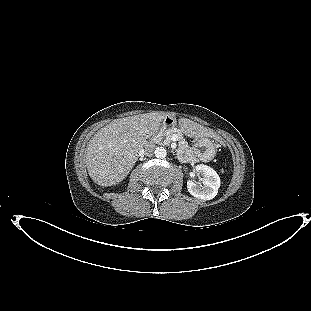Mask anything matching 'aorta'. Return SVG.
I'll return each mask as SVG.
<instances>
[{"label": "aorta", "instance_id": "aorta-1", "mask_svg": "<svg viewBox=\"0 0 311 311\" xmlns=\"http://www.w3.org/2000/svg\"><path fill=\"white\" fill-rule=\"evenodd\" d=\"M154 153H155V156L160 159L165 158L167 155L166 149L164 147H157Z\"/></svg>", "mask_w": 311, "mask_h": 311}]
</instances>
